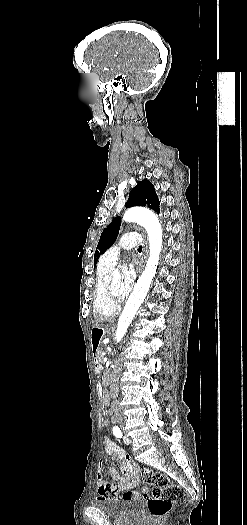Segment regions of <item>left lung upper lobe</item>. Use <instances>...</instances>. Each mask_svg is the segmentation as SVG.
<instances>
[{"instance_id": "5c2ea615", "label": "left lung upper lobe", "mask_w": 247, "mask_h": 525, "mask_svg": "<svg viewBox=\"0 0 247 525\" xmlns=\"http://www.w3.org/2000/svg\"><path fill=\"white\" fill-rule=\"evenodd\" d=\"M159 199L155 192L153 184L148 180H143L138 182V184L130 191L129 199L126 202L125 206L127 208L133 206H148L157 213H160L159 210ZM121 225V218L116 217L113 219L110 225L105 228L101 234L99 243L97 245V250L94 255V266L97 263L100 255L113 245L117 239L119 229Z\"/></svg>"}]
</instances>
